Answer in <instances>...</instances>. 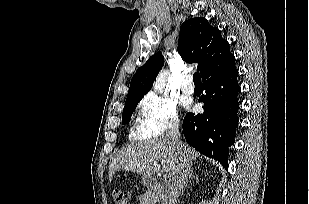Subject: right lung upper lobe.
<instances>
[{
    "mask_svg": "<svg viewBox=\"0 0 309 204\" xmlns=\"http://www.w3.org/2000/svg\"><path fill=\"white\" fill-rule=\"evenodd\" d=\"M178 52L187 63H198L197 70L203 81L229 69L235 61L229 43L222 38L220 30L212 27L203 17L189 19L181 25ZM163 64L164 57L160 52L151 56L134 74L126 101L142 99Z\"/></svg>",
    "mask_w": 309,
    "mask_h": 204,
    "instance_id": "cb5924a9",
    "label": "right lung upper lobe"
}]
</instances>
